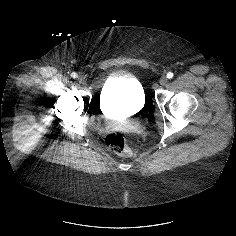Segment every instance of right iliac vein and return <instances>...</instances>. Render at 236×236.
Masks as SVG:
<instances>
[{
    "label": "right iliac vein",
    "instance_id": "1",
    "mask_svg": "<svg viewBox=\"0 0 236 236\" xmlns=\"http://www.w3.org/2000/svg\"><path fill=\"white\" fill-rule=\"evenodd\" d=\"M77 79L82 84H85V82H86V79L83 76H79Z\"/></svg>",
    "mask_w": 236,
    "mask_h": 236
}]
</instances>
